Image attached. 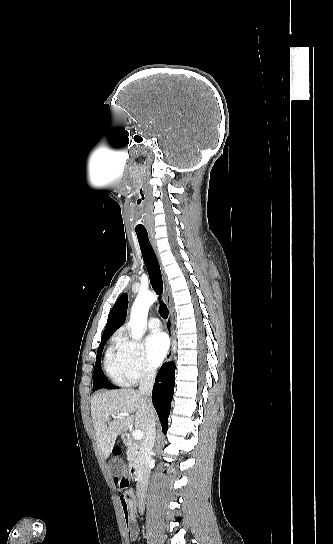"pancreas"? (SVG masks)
<instances>
[{
  "instance_id": "obj_1",
  "label": "pancreas",
  "mask_w": 333,
  "mask_h": 544,
  "mask_svg": "<svg viewBox=\"0 0 333 544\" xmlns=\"http://www.w3.org/2000/svg\"><path fill=\"white\" fill-rule=\"evenodd\" d=\"M127 459L130 462L136 461L138 454H139V444L138 443H132L129 441V446L127 449Z\"/></svg>"
}]
</instances>
